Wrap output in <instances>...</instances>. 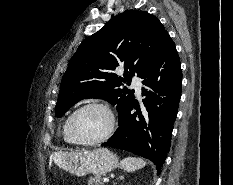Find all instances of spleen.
Masks as SVG:
<instances>
[{"instance_id":"spleen-1","label":"spleen","mask_w":233,"mask_h":185,"mask_svg":"<svg viewBox=\"0 0 233 185\" xmlns=\"http://www.w3.org/2000/svg\"><path fill=\"white\" fill-rule=\"evenodd\" d=\"M121 165L126 172H134L143 168L146 162L142 158L127 157L121 161Z\"/></svg>"}]
</instances>
